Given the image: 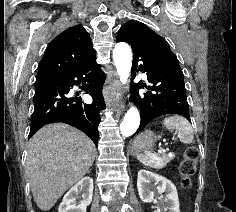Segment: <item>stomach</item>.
Here are the masks:
<instances>
[{
  "instance_id": "obj_1",
  "label": "stomach",
  "mask_w": 236,
  "mask_h": 212,
  "mask_svg": "<svg viewBox=\"0 0 236 212\" xmlns=\"http://www.w3.org/2000/svg\"><path fill=\"white\" fill-rule=\"evenodd\" d=\"M156 140L157 136L153 132H142L133 141L132 153L138 155L149 152L155 145Z\"/></svg>"
}]
</instances>
